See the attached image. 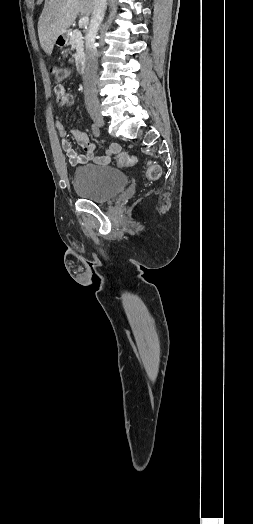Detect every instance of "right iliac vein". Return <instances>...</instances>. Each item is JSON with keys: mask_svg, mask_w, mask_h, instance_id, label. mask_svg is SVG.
Listing matches in <instances>:
<instances>
[{"mask_svg": "<svg viewBox=\"0 0 253 524\" xmlns=\"http://www.w3.org/2000/svg\"><path fill=\"white\" fill-rule=\"evenodd\" d=\"M89 114L91 116V118L93 119V121L98 125V126H103L105 124L104 122V119H103V116L101 115L99 109L97 108H91L89 109Z\"/></svg>", "mask_w": 253, "mask_h": 524, "instance_id": "1", "label": "right iliac vein"}]
</instances>
